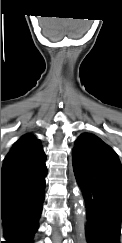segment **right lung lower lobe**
<instances>
[{
	"mask_svg": "<svg viewBox=\"0 0 122 243\" xmlns=\"http://www.w3.org/2000/svg\"><path fill=\"white\" fill-rule=\"evenodd\" d=\"M46 166L1 185V219L5 241L33 243L45 193Z\"/></svg>",
	"mask_w": 122,
	"mask_h": 243,
	"instance_id": "obj_1",
	"label": "right lung lower lobe"
}]
</instances>
